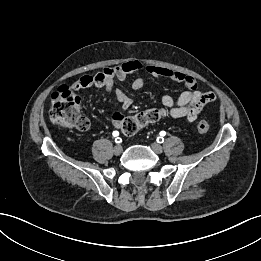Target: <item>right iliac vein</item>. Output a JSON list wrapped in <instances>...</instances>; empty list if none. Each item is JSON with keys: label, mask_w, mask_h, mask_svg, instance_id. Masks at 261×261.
I'll return each instance as SVG.
<instances>
[{"label": "right iliac vein", "mask_w": 261, "mask_h": 261, "mask_svg": "<svg viewBox=\"0 0 261 261\" xmlns=\"http://www.w3.org/2000/svg\"><path fill=\"white\" fill-rule=\"evenodd\" d=\"M123 151V148L121 145H116L114 148H113V152L115 155H120Z\"/></svg>", "instance_id": "63e3f726"}]
</instances>
